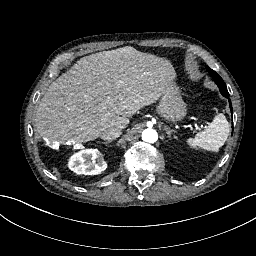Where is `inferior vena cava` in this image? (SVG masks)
I'll return each mask as SVG.
<instances>
[{"label": "inferior vena cava", "mask_w": 256, "mask_h": 256, "mask_svg": "<svg viewBox=\"0 0 256 256\" xmlns=\"http://www.w3.org/2000/svg\"><path fill=\"white\" fill-rule=\"evenodd\" d=\"M120 135H121V130H119L117 128H112L106 132H102L100 134V138H102L104 140H114L117 137H119Z\"/></svg>", "instance_id": "1"}]
</instances>
